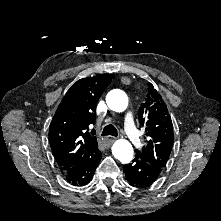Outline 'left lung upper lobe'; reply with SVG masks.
Listing matches in <instances>:
<instances>
[{
  "instance_id": "5c2ea615",
  "label": "left lung upper lobe",
  "mask_w": 221,
  "mask_h": 221,
  "mask_svg": "<svg viewBox=\"0 0 221 221\" xmlns=\"http://www.w3.org/2000/svg\"><path fill=\"white\" fill-rule=\"evenodd\" d=\"M148 87L145 102L141 104L138 112L139 122L145 127L147 140L142 151L136 150V156L162 171L173 146V125L162 97L151 83H148Z\"/></svg>"
}]
</instances>
